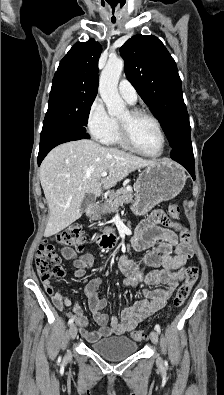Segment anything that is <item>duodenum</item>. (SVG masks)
Returning a JSON list of instances; mask_svg holds the SVG:
<instances>
[{"instance_id": "410a0bca", "label": "duodenum", "mask_w": 224, "mask_h": 395, "mask_svg": "<svg viewBox=\"0 0 224 395\" xmlns=\"http://www.w3.org/2000/svg\"><path fill=\"white\" fill-rule=\"evenodd\" d=\"M99 202L96 201L88 212L89 216H92L95 208L98 206ZM119 236L113 231H107L99 236H97V242L99 246L104 250H109L116 247L119 244Z\"/></svg>"}]
</instances>
